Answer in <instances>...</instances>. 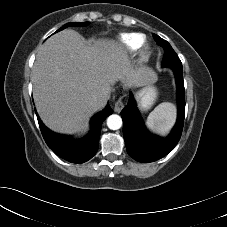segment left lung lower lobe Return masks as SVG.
I'll list each match as a JSON object with an SVG mask.
<instances>
[{
  "instance_id": "left-lung-lower-lobe-1",
  "label": "left lung lower lobe",
  "mask_w": 227,
  "mask_h": 227,
  "mask_svg": "<svg viewBox=\"0 0 227 227\" xmlns=\"http://www.w3.org/2000/svg\"><path fill=\"white\" fill-rule=\"evenodd\" d=\"M174 73L178 117L173 130L166 138L153 135L146 129L131 92L127 106L121 111L126 149L138 162L148 163L161 159L176 146L181 137L185 117L184 82L182 71L174 70Z\"/></svg>"
}]
</instances>
